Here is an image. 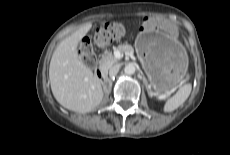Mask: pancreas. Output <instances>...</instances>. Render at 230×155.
Instances as JSON below:
<instances>
[{"label":"pancreas","instance_id":"pancreas-1","mask_svg":"<svg viewBox=\"0 0 230 155\" xmlns=\"http://www.w3.org/2000/svg\"><path fill=\"white\" fill-rule=\"evenodd\" d=\"M118 50L121 52H126L128 54L133 53V48L129 45H119ZM118 62L119 60L112 53H107L106 55L102 56V58L99 61V64L103 70L107 71Z\"/></svg>","mask_w":230,"mask_h":155}]
</instances>
